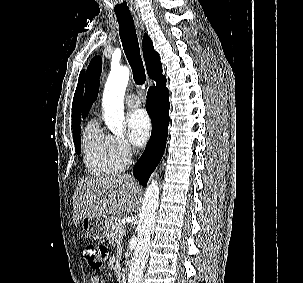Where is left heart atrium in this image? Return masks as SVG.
<instances>
[{
    "label": "left heart atrium",
    "mask_w": 303,
    "mask_h": 283,
    "mask_svg": "<svg viewBox=\"0 0 303 283\" xmlns=\"http://www.w3.org/2000/svg\"><path fill=\"white\" fill-rule=\"evenodd\" d=\"M128 136L136 146H142L151 133V122L145 110L131 111L127 116Z\"/></svg>",
    "instance_id": "left-heart-atrium-1"
}]
</instances>
